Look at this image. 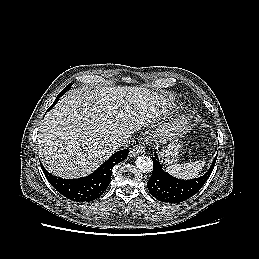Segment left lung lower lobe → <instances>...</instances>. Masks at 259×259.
Segmentation results:
<instances>
[{
  "instance_id": "0a47b994",
  "label": "left lung lower lobe",
  "mask_w": 259,
  "mask_h": 259,
  "mask_svg": "<svg viewBox=\"0 0 259 259\" xmlns=\"http://www.w3.org/2000/svg\"><path fill=\"white\" fill-rule=\"evenodd\" d=\"M217 156L214 158L210 169L201 177L191 180L177 179L163 170L158 155L155 153L153 172L147 186L150 194L159 201L179 203L196 194L206 183L211 175Z\"/></svg>"
}]
</instances>
